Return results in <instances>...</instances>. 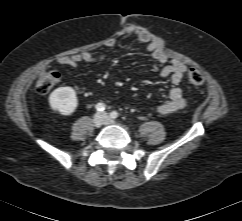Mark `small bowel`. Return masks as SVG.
I'll use <instances>...</instances> for the list:
<instances>
[{"label": "small bowel", "instance_id": "obj_1", "mask_svg": "<svg viewBox=\"0 0 242 221\" xmlns=\"http://www.w3.org/2000/svg\"><path fill=\"white\" fill-rule=\"evenodd\" d=\"M126 33L133 34L135 36V42H140L146 44V49L152 56V58L159 64L163 65L160 70L159 76L161 78H170L174 85H178L187 70L185 64L178 60H170L167 54L159 48L152 40L149 33L144 30H138L133 28H128ZM115 41L109 39L106 42L107 47H113ZM135 45V43H134ZM105 61L104 55H94L89 51H85L78 54H73L69 56H62L58 59V63L63 66L77 67L81 63H96ZM186 106V100L183 96L182 90L174 86L169 91V99L158 105L157 112L162 115L172 114Z\"/></svg>", "mask_w": 242, "mask_h": 221}]
</instances>
